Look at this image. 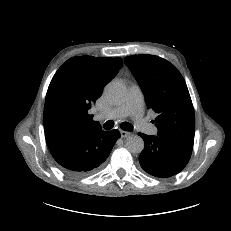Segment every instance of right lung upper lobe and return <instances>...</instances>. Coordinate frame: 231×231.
<instances>
[{"instance_id":"right-lung-upper-lobe-1","label":"right lung upper lobe","mask_w":231,"mask_h":231,"mask_svg":"<svg viewBox=\"0 0 231 231\" xmlns=\"http://www.w3.org/2000/svg\"><path fill=\"white\" fill-rule=\"evenodd\" d=\"M122 65L121 58L79 56L68 59L53 76L46 94V139L101 128L88 110Z\"/></svg>"}]
</instances>
